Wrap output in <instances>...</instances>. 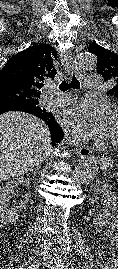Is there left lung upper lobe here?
<instances>
[{"instance_id": "obj_1", "label": "left lung upper lobe", "mask_w": 118, "mask_h": 269, "mask_svg": "<svg viewBox=\"0 0 118 269\" xmlns=\"http://www.w3.org/2000/svg\"><path fill=\"white\" fill-rule=\"evenodd\" d=\"M88 51L97 56V73L112 85L109 92L118 98V55L96 43Z\"/></svg>"}]
</instances>
